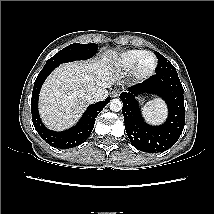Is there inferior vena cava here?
I'll list each match as a JSON object with an SVG mask.
<instances>
[{
  "label": "inferior vena cava",
  "instance_id": "1",
  "mask_svg": "<svg viewBox=\"0 0 214 214\" xmlns=\"http://www.w3.org/2000/svg\"><path fill=\"white\" fill-rule=\"evenodd\" d=\"M108 97V91L102 87H91L86 91V99L93 103L105 100Z\"/></svg>",
  "mask_w": 214,
  "mask_h": 214
}]
</instances>
